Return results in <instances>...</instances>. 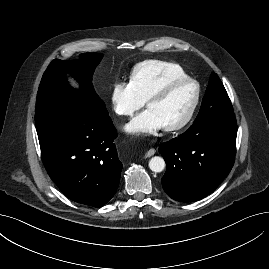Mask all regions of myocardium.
<instances>
[{
    "label": "myocardium",
    "mask_w": 269,
    "mask_h": 269,
    "mask_svg": "<svg viewBox=\"0 0 269 269\" xmlns=\"http://www.w3.org/2000/svg\"><path fill=\"white\" fill-rule=\"evenodd\" d=\"M184 84H193L195 86L194 100L187 114L180 122L164 127L168 132H176L184 129L193 119L201 99V87L199 82L190 77L173 80L152 93L146 100V106H148L152 102L165 98L173 89Z\"/></svg>",
    "instance_id": "f54148a6"
}]
</instances>
